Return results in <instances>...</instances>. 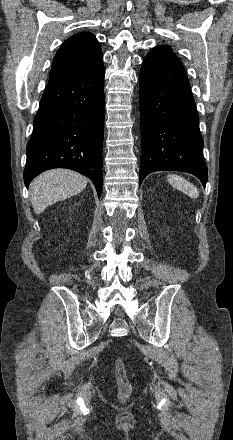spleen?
Returning <instances> with one entry per match:
<instances>
[{
  "mask_svg": "<svg viewBox=\"0 0 233 440\" xmlns=\"http://www.w3.org/2000/svg\"><path fill=\"white\" fill-rule=\"evenodd\" d=\"M168 182L176 189L184 192L192 199H197L199 197V190L192 183L184 179L179 175H168Z\"/></svg>",
  "mask_w": 233,
  "mask_h": 440,
  "instance_id": "1",
  "label": "spleen"
}]
</instances>
